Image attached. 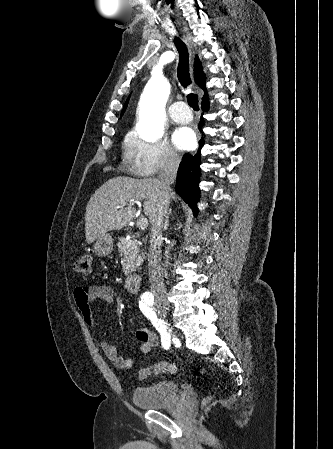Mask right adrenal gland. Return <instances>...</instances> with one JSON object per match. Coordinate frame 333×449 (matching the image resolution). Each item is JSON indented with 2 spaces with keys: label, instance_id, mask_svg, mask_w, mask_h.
Returning <instances> with one entry per match:
<instances>
[{
  "label": "right adrenal gland",
  "instance_id": "right-adrenal-gland-1",
  "mask_svg": "<svg viewBox=\"0 0 333 449\" xmlns=\"http://www.w3.org/2000/svg\"><path fill=\"white\" fill-rule=\"evenodd\" d=\"M170 213H171V210L169 211L168 215L166 216L164 229H167L168 226H169V215H170Z\"/></svg>",
  "mask_w": 333,
  "mask_h": 449
}]
</instances>
